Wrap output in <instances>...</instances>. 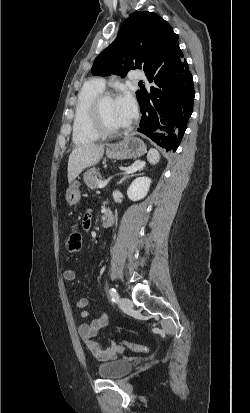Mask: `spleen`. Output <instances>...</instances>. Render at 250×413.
Returning a JSON list of instances; mask_svg holds the SVG:
<instances>
[{"label": "spleen", "instance_id": "3e777b00", "mask_svg": "<svg viewBox=\"0 0 250 413\" xmlns=\"http://www.w3.org/2000/svg\"><path fill=\"white\" fill-rule=\"evenodd\" d=\"M147 159L151 164H157L160 160V154L156 149H150L147 154Z\"/></svg>", "mask_w": 250, "mask_h": 413}]
</instances>
